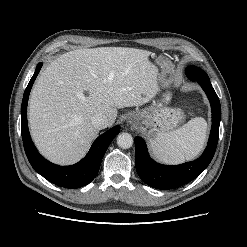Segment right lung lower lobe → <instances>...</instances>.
I'll return each mask as SVG.
<instances>
[{"mask_svg":"<svg viewBox=\"0 0 247 247\" xmlns=\"http://www.w3.org/2000/svg\"><path fill=\"white\" fill-rule=\"evenodd\" d=\"M41 67L42 63H39L24 92L21 106V133L27 158L36 172L55 185L72 189L85 186L96 177L102 158L111 141L120 132V126H114L100 135L94 141L85 158L77 164L71 166H58L44 159L31 140L27 124L28 97Z\"/></svg>","mask_w":247,"mask_h":247,"instance_id":"obj_1","label":"right lung lower lobe"}]
</instances>
